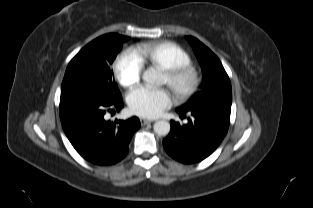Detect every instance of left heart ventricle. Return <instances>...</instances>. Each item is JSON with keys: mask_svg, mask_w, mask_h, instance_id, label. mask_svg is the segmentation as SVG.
<instances>
[{"mask_svg": "<svg viewBox=\"0 0 313 208\" xmlns=\"http://www.w3.org/2000/svg\"><path fill=\"white\" fill-rule=\"evenodd\" d=\"M164 82H166V76H164Z\"/></svg>", "mask_w": 313, "mask_h": 208, "instance_id": "1", "label": "left heart ventricle"}]
</instances>
